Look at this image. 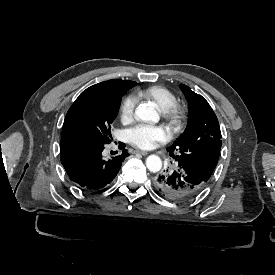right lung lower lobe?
I'll return each mask as SVG.
<instances>
[{"instance_id":"obj_1","label":"right lung lower lobe","mask_w":275,"mask_h":275,"mask_svg":"<svg viewBox=\"0 0 275 275\" xmlns=\"http://www.w3.org/2000/svg\"><path fill=\"white\" fill-rule=\"evenodd\" d=\"M125 144L122 153L106 160L104 144L87 139L61 140L60 159L69 178L83 190H99L112 182L129 155Z\"/></svg>"}]
</instances>
